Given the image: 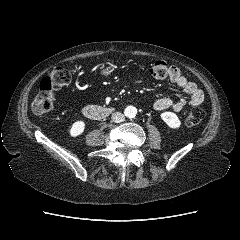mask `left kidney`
Here are the masks:
<instances>
[{"instance_id": "5707ae66", "label": "left kidney", "mask_w": 240, "mask_h": 240, "mask_svg": "<svg viewBox=\"0 0 240 240\" xmlns=\"http://www.w3.org/2000/svg\"><path fill=\"white\" fill-rule=\"evenodd\" d=\"M161 119L172 129L179 128L181 125L178 116L173 112H163Z\"/></svg>"}]
</instances>
